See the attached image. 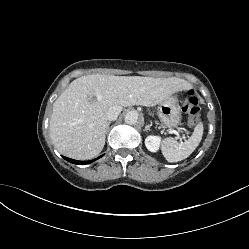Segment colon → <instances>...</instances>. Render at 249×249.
<instances>
[{"mask_svg":"<svg viewBox=\"0 0 249 249\" xmlns=\"http://www.w3.org/2000/svg\"><path fill=\"white\" fill-rule=\"evenodd\" d=\"M183 111L189 114V126H195L200 118L201 106L198 95L194 90L187 91V98L183 105Z\"/></svg>","mask_w":249,"mask_h":249,"instance_id":"colon-1","label":"colon"}]
</instances>
